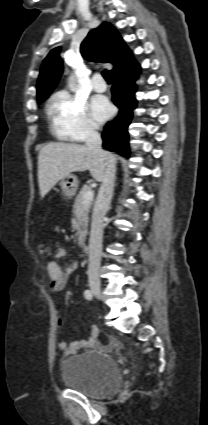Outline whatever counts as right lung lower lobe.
<instances>
[{"label": "right lung lower lobe", "mask_w": 208, "mask_h": 425, "mask_svg": "<svg viewBox=\"0 0 208 425\" xmlns=\"http://www.w3.org/2000/svg\"><path fill=\"white\" fill-rule=\"evenodd\" d=\"M140 66L136 62L131 67L112 75V101L120 109L118 116L105 126L102 134L103 147L109 151L117 152L124 157H129V144L127 128L131 123L133 110L137 106L135 100L136 85Z\"/></svg>", "instance_id": "98d812e1"}]
</instances>
